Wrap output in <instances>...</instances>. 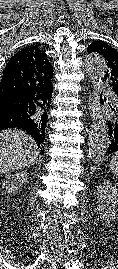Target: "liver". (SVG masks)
Segmentation results:
<instances>
[{
  "instance_id": "obj_1",
  "label": "liver",
  "mask_w": 118,
  "mask_h": 269,
  "mask_svg": "<svg viewBox=\"0 0 118 269\" xmlns=\"http://www.w3.org/2000/svg\"><path fill=\"white\" fill-rule=\"evenodd\" d=\"M35 141L20 130L0 132V175L29 167L38 160Z\"/></svg>"
}]
</instances>
